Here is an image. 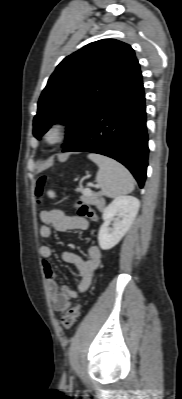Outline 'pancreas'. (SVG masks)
I'll use <instances>...</instances> for the list:
<instances>
[{
  "label": "pancreas",
  "mask_w": 182,
  "mask_h": 399,
  "mask_svg": "<svg viewBox=\"0 0 182 399\" xmlns=\"http://www.w3.org/2000/svg\"><path fill=\"white\" fill-rule=\"evenodd\" d=\"M90 198L92 199L95 205H99L101 208V205L104 203V201L100 199V194H92Z\"/></svg>",
  "instance_id": "obj_1"
}]
</instances>
